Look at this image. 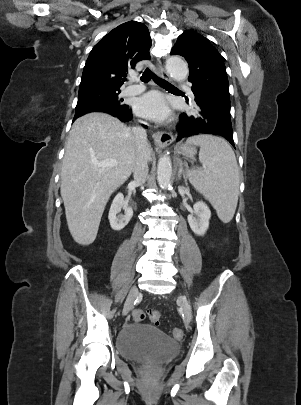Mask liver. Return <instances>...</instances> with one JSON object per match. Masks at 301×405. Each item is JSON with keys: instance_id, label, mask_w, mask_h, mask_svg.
<instances>
[{"instance_id": "liver-1", "label": "liver", "mask_w": 301, "mask_h": 405, "mask_svg": "<svg viewBox=\"0 0 301 405\" xmlns=\"http://www.w3.org/2000/svg\"><path fill=\"white\" fill-rule=\"evenodd\" d=\"M147 161L152 148H142ZM137 144L132 130L104 113L78 118L69 133L61 169V196L66 220L74 240L91 244L97 236L105 206L111 194L123 185L133 171ZM104 160H115L114 167H100Z\"/></svg>"}]
</instances>
